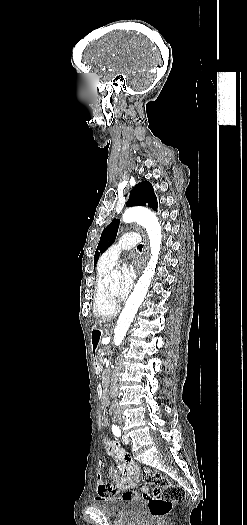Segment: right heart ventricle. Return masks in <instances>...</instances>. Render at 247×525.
I'll use <instances>...</instances> for the list:
<instances>
[{
    "label": "right heart ventricle",
    "instance_id": "e07e8e85",
    "mask_svg": "<svg viewBox=\"0 0 247 525\" xmlns=\"http://www.w3.org/2000/svg\"><path fill=\"white\" fill-rule=\"evenodd\" d=\"M114 271L112 265H107L104 254L100 257L97 268L96 287L93 298V313L95 317H115L118 312V305H107L105 280Z\"/></svg>",
    "mask_w": 247,
    "mask_h": 525
}]
</instances>
